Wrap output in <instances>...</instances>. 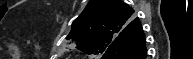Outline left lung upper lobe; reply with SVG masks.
I'll return each instance as SVG.
<instances>
[{"instance_id": "obj_1", "label": "left lung upper lobe", "mask_w": 193, "mask_h": 59, "mask_svg": "<svg viewBox=\"0 0 193 59\" xmlns=\"http://www.w3.org/2000/svg\"><path fill=\"white\" fill-rule=\"evenodd\" d=\"M134 10L121 0H90L72 23L67 39L87 54H104L134 21ZM138 19V18H136Z\"/></svg>"}]
</instances>
